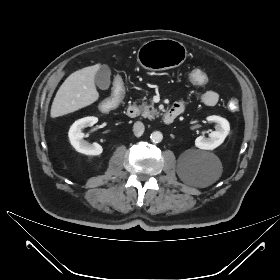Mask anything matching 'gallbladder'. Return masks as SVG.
Returning a JSON list of instances; mask_svg holds the SVG:
<instances>
[{
  "mask_svg": "<svg viewBox=\"0 0 280 280\" xmlns=\"http://www.w3.org/2000/svg\"><path fill=\"white\" fill-rule=\"evenodd\" d=\"M111 70L107 65H101L99 70L95 74V84L102 90L109 88L111 80Z\"/></svg>",
  "mask_w": 280,
  "mask_h": 280,
  "instance_id": "obj_1",
  "label": "gallbladder"
}]
</instances>
